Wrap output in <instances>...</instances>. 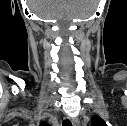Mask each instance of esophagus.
<instances>
[{
	"mask_svg": "<svg viewBox=\"0 0 127 126\" xmlns=\"http://www.w3.org/2000/svg\"><path fill=\"white\" fill-rule=\"evenodd\" d=\"M71 122H72V125H73V126H79V125H80V121H79L78 118H73V119L71 120Z\"/></svg>",
	"mask_w": 127,
	"mask_h": 126,
	"instance_id": "34e87169",
	"label": "esophagus"
}]
</instances>
